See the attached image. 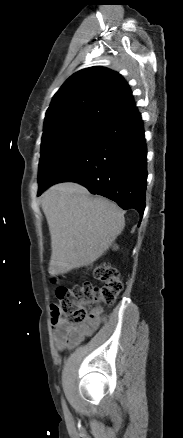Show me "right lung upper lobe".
Returning <instances> with one entry per match:
<instances>
[{
    "instance_id": "1",
    "label": "right lung upper lobe",
    "mask_w": 183,
    "mask_h": 438,
    "mask_svg": "<svg viewBox=\"0 0 183 438\" xmlns=\"http://www.w3.org/2000/svg\"><path fill=\"white\" fill-rule=\"evenodd\" d=\"M135 107L122 76L104 67L73 74L56 92L44 121V134L78 125L98 127Z\"/></svg>"
}]
</instances>
